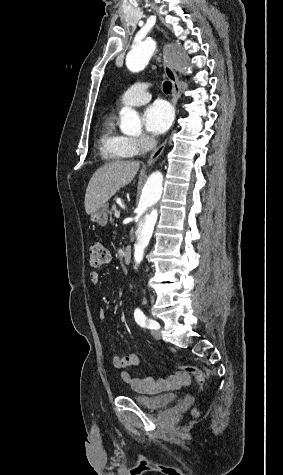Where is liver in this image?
Segmentation results:
<instances>
[{
    "mask_svg": "<svg viewBox=\"0 0 283 475\" xmlns=\"http://www.w3.org/2000/svg\"><path fill=\"white\" fill-rule=\"evenodd\" d=\"M140 168V162H108L93 174L85 194L86 214H93L108 200L132 182Z\"/></svg>",
    "mask_w": 283,
    "mask_h": 475,
    "instance_id": "obj_1",
    "label": "liver"
}]
</instances>
